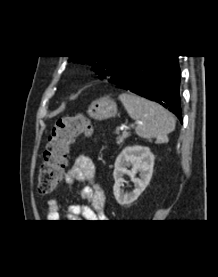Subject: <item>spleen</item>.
<instances>
[{"label":"spleen","mask_w":218,"mask_h":277,"mask_svg":"<svg viewBox=\"0 0 218 277\" xmlns=\"http://www.w3.org/2000/svg\"><path fill=\"white\" fill-rule=\"evenodd\" d=\"M119 99L128 115L138 121L135 131L139 137L167 141V135L175 129V120L170 112L135 94L123 93Z\"/></svg>","instance_id":"3e777b00"}]
</instances>
